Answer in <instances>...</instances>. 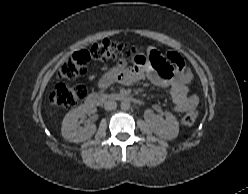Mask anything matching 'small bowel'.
Wrapping results in <instances>:
<instances>
[{"label": "small bowel", "instance_id": "obj_1", "mask_svg": "<svg viewBox=\"0 0 248 194\" xmlns=\"http://www.w3.org/2000/svg\"><path fill=\"white\" fill-rule=\"evenodd\" d=\"M161 64L157 65L147 56H139L133 66L118 65L110 69L99 81L98 86L106 89L116 81L131 84L139 80H148L155 86L169 89L174 109L186 112L197 107V95L190 93L188 84L193 75L184 60L175 53L160 56Z\"/></svg>", "mask_w": 248, "mask_h": 194}]
</instances>
